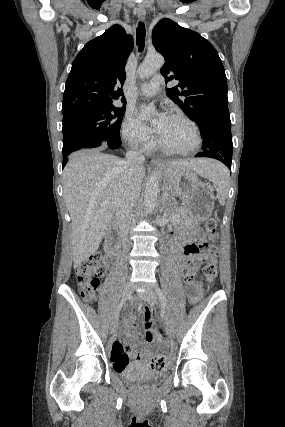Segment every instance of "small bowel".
Masks as SVG:
<instances>
[{"label":"small bowel","mask_w":285,"mask_h":427,"mask_svg":"<svg viewBox=\"0 0 285 427\" xmlns=\"http://www.w3.org/2000/svg\"><path fill=\"white\" fill-rule=\"evenodd\" d=\"M184 234L185 229L177 228L169 233L171 243L176 251V258L179 261H184ZM197 299L193 300L196 301ZM142 312L147 315L149 312L147 309H142ZM125 325L132 330L131 337H134L136 346L129 352H126L123 347L129 337H122L120 340H113L111 344V362L116 370H121L129 359H133L138 362L147 361L153 354L150 350L151 341L158 335L153 327V323L149 317L144 320L146 341L142 339L141 332L138 329V321L135 315L130 314L125 317Z\"/></svg>","instance_id":"c3829d8e"}]
</instances>
